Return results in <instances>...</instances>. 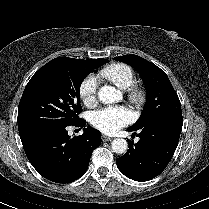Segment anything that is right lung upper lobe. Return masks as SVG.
Listing matches in <instances>:
<instances>
[{
  "label": "right lung upper lobe",
  "mask_w": 209,
  "mask_h": 209,
  "mask_svg": "<svg viewBox=\"0 0 209 209\" xmlns=\"http://www.w3.org/2000/svg\"><path fill=\"white\" fill-rule=\"evenodd\" d=\"M88 62L93 65L96 68L106 64L109 62L107 59L99 58V59H93V60H88Z\"/></svg>",
  "instance_id": "1"
}]
</instances>
